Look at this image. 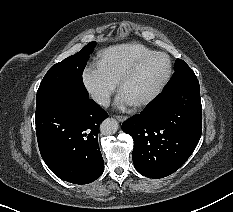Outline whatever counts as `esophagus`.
Returning <instances> with one entry per match:
<instances>
[{
	"mask_svg": "<svg viewBox=\"0 0 233 212\" xmlns=\"http://www.w3.org/2000/svg\"><path fill=\"white\" fill-rule=\"evenodd\" d=\"M116 118L120 122L127 120V116H124V115H117Z\"/></svg>",
	"mask_w": 233,
	"mask_h": 212,
	"instance_id": "34e87169",
	"label": "esophagus"
}]
</instances>
